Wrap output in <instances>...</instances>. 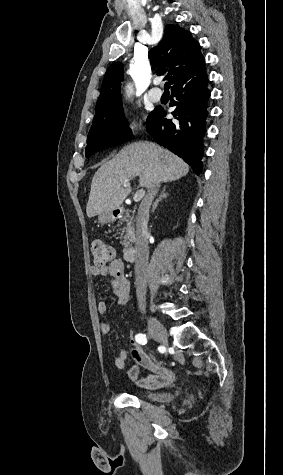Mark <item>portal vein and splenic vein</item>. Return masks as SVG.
<instances>
[{
  "mask_svg": "<svg viewBox=\"0 0 283 475\" xmlns=\"http://www.w3.org/2000/svg\"><path fill=\"white\" fill-rule=\"evenodd\" d=\"M130 180H125L124 182V186H128ZM145 192L144 190H138V192H136V194H134V202H140L141 198H143Z\"/></svg>",
  "mask_w": 283,
  "mask_h": 475,
  "instance_id": "obj_1",
  "label": "portal vein and splenic vein"
}]
</instances>
